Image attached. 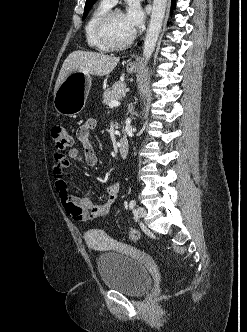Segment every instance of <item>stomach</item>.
Masks as SVG:
<instances>
[{
  "instance_id": "stomach-1",
  "label": "stomach",
  "mask_w": 247,
  "mask_h": 332,
  "mask_svg": "<svg viewBox=\"0 0 247 332\" xmlns=\"http://www.w3.org/2000/svg\"><path fill=\"white\" fill-rule=\"evenodd\" d=\"M135 66L127 67L129 73L136 71ZM92 79L83 71H72L60 84L54 95V108L64 116L73 117L84 108Z\"/></svg>"
}]
</instances>
